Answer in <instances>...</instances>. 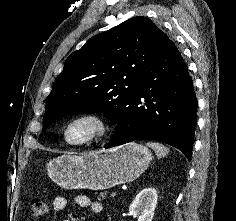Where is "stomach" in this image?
I'll return each mask as SVG.
<instances>
[{"label":"stomach","mask_w":236,"mask_h":221,"mask_svg":"<svg viewBox=\"0 0 236 221\" xmlns=\"http://www.w3.org/2000/svg\"><path fill=\"white\" fill-rule=\"evenodd\" d=\"M147 147L130 142L84 155L64 154L47 164L50 178L64 189L104 190L136 180L148 167Z\"/></svg>","instance_id":"obj_1"}]
</instances>
